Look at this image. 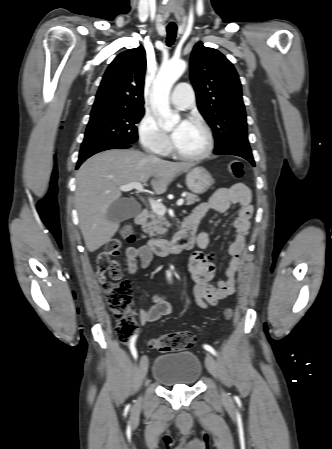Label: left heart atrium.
<instances>
[{"label":"left heart atrium","instance_id":"39dd6f15","mask_svg":"<svg viewBox=\"0 0 332 449\" xmlns=\"http://www.w3.org/2000/svg\"><path fill=\"white\" fill-rule=\"evenodd\" d=\"M187 124H188L187 121H182L175 127V129L173 130V132L171 134V138H172L173 142H175L178 139V137L180 136L183 129L187 126Z\"/></svg>","mask_w":332,"mask_h":449}]
</instances>
